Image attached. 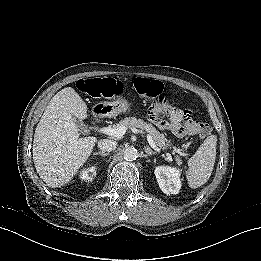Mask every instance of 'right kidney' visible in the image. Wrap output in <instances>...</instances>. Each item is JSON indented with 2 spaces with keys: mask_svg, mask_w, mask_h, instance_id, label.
Masks as SVG:
<instances>
[{
  "mask_svg": "<svg viewBox=\"0 0 261 261\" xmlns=\"http://www.w3.org/2000/svg\"><path fill=\"white\" fill-rule=\"evenodd\" d=\"M94 171V169H92ZM93 177V176H92ZM92 177H90L87 172L83 171L82 174H81V177L82 180H86V181H91L92 180Z\"/></svg>",
  "mask_w": 261,
  "mask_h": 261,
  "instance_id": "ca27d5eb",
  "label": "right kidney"
}]
</instances>
